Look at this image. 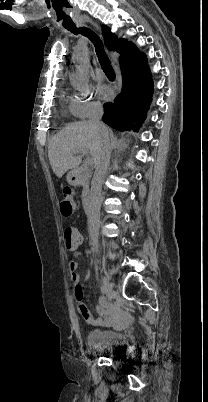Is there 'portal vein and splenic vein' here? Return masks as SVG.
Returning a JSON list of instances; mask_svg holds the SVG:
<instances>
[{
    "mask_svg": "<svg viewBox=\"0 0 208 402\" xmlns=\"http://www.w3.org/2000/svg\"><path fill=\"white\" fill-rule=\"evenodd\" d=\"M86 154H88V150H84V152H81L80 156L78 153H75L74 157H75L76 162H81V158H84L86 156ZM91 164H93L92 158H87V160L85 162V166H91Z\"/></svg>",
    "mask_w": 208,
    "mask_h": 402,
    "instance_id": "1",
    "label": "portal vein and splenic vein"
}]
</instances>
